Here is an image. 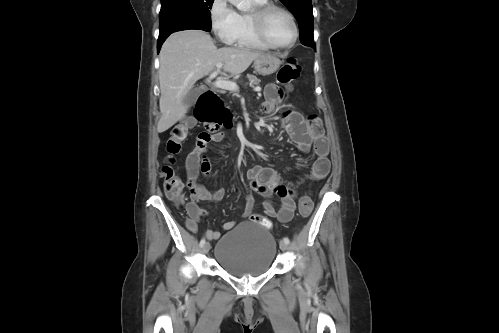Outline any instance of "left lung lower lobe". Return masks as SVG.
Listing matches in <instances>:
<instances>
[{
  "label": "left lung lower lobe",
  "mask_w": 499,
  "mask_h": 333,
  "mask_svg": "<svg viewBox=\"0 0 499 333\" xmlns=\"http://www.w3.org/2000/svg\"><path fill=\"white\" fill-rule=\"evenodd\" d=\"M302 44H303V45H306V46H311V47H313L314 49H316V48H315V44H314L313 42H311V41H302Z\"/></svg>",
  "instance_id": "obj_1"
}]
</instances>
